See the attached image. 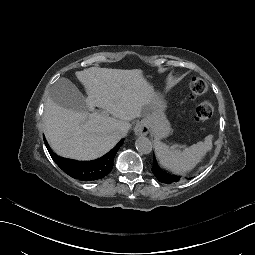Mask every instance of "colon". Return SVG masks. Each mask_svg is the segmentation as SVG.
I'll list each match as a JSON object with an SVG mask.
<instances>
[{"label":"colon","mask_w":255,"mask_h":255,"mask_svg":"<svg viewBox=\"0 0 255 255\" xmlns=\"http://www.w3.org/2000/svg\"><path fill=\"white\" fill-rule=\"evenodd\" d=\"M190 90L192 94L199 96L208 90L207 82L202 78H193L190 82ZM214 107L211 101L205 100L201 102L195 111L196 118L199 121H207L211 118Z\"/></svg>","instance_id":"obj_1"}]
</instances>
